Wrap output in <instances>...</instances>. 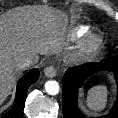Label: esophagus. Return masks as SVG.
Segmentation results:
<instances>
[{"mask_svg":"<svg viewBox=\"0 0 118 118\" xmlns=\"http://www.w3.org/2000/svg\"><path fill=\"white\" fill-rule=\"evenodd\" d=\"M44 74L48 78H53L56 76V68L53 65H50L44 69Z\"/></svg>","mask_w":118,"mask_h":118,"instance_id":"1","label":"esophagus"}]
</instances>
